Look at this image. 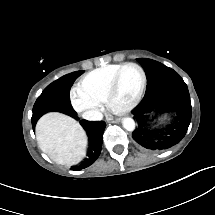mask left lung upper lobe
<instances>
[{
    "label": "left lung upper lobe",
    "instance_id": "left-lung-upper-lobe-1",
    "mask_svg": "<svg viewBox=\"0 0 215 215\" xmlns=\"http://www.w3.org/2000/svg\"><path fill=\"white\" fill-rule=\"evenodd\" d=\"M147 76L146 93L133 111L138 128L134 140L144 149L165 150L178 144L185 136L191 121V102L187 85L171 68L150 59H138ZM153 109L176 112L179 124L166 132L156 133L146 128L147 113Z\"/></svg>",
    "mask_w": 215,
    "mask_h": 215
}]
</instances>
